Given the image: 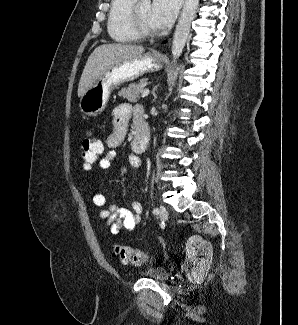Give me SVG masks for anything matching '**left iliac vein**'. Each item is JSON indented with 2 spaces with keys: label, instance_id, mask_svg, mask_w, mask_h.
<instances>
[{
  "label": "left iliac vein",
  "instance_id": "left-iliac-vein-1",
  "mask_svg": "<svg viewBox=\"0 0 298 325\" xmlns=\"http://www.w3.org/2000/svg\"><path fill=\"white\" fill-rule=\"evenodd\" d=\"M159 215H160L161 219L164 221L167 220V218H168V212L163 205H161L159 208Z\"/></svg>",
  "mask_w": 298,
  "mask_h": 325
}]
</instances>
